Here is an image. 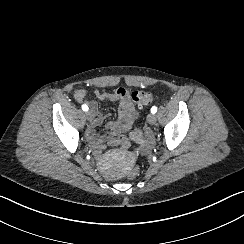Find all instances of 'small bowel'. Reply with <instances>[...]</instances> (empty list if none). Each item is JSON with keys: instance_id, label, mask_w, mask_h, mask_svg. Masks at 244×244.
Returning a JSON list of instances; mask_svg holds the SVG:
<instances>
[{"instance_id": "1", "label": "small bowel", "mask_w": 244, "mask_h": 244, "mask_svg": "<svg viewBox=\"0 0 244 244\" xmlns=\"http://www.w3.org/2000/svg\"><path fill=\"white\" fill-rule=\"evenodd\" d=\"M94 95L101 101H115L116 97L112 94H108L104 91L95 89L93 91ZM87 90L84 88H78L74 91L73 97L76 102L83 103L86 102L94 116V121L90 126L89 133L97 142H103L105 140H112V136L115 133H125L128 132L137 117L136 109L129 97H122L119 99L120 113L119 118L114 121H110L106 125L107 132L101 135H95V127L102 123L104 120L103 114L99 111L96 103L94 101L87 99ZM133 139L136 140L133 136ZM141 144L142 150H147L154 144V139L151 136H146L143 140L138 141Z\"/></svg>"}]
</instances>
